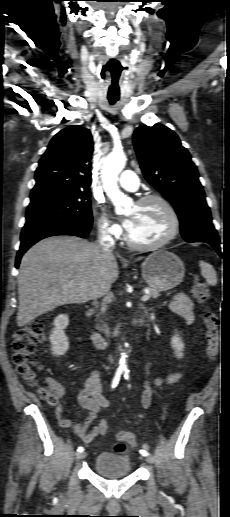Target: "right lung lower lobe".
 I'll return each instance as SVG.
<instances>
[{"mask_svg": "<svg viewBox=\"0 0 230 517\" xmlns=\"http://www.w3.org/2000/svg\"><path fill=\"white\" fill-rule=\"evenodd\" d=\"M92 222H82L61 218H46L26 222L21 232V245L17 252L16 268L22 255L36 242L55 235H73L86 237L91 229Z\"/></svg>", "mask_w": 230, "mask_h": 517, "instance_id": "obj_1", "label": "right lung lower lobe"}]
</instances>
